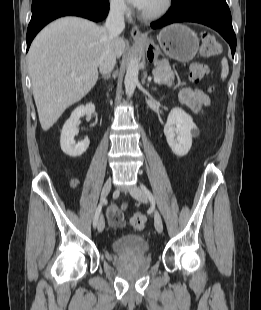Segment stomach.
Listing matches in <instances>:
<instances>
[{
	"instance_id": "1",
	"label": "stomach",
	"mask_w": 261,
	"mask_h": 310,
	"mask_svg": "<svg viewBox=\"0 0 261 310\" xmlns=\"http://www.w3.org/2000/svg\"><path fill=\"white\" fill-rule=\"evenodd\" d=\"M159 46L149 40L142 43L148 56L157 61L160 49L171 59L180 62L191 61L199 48V39L194 31L183 24L175 23L163 28L158 35Z\"/></svg>"
}]
</instances>
